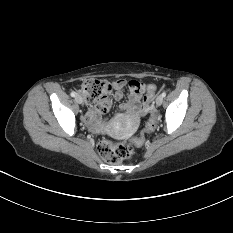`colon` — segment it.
<instances>
[{"mask_svg":"<svg viewBox=\"0 0 233 233\" xmlns=\"http://www.w3.org/2000/svg\"><path fill=\"white\" fill-rule=\"evenodd\" d=\"M112 90V83L102 79H88L83 82L81 91L87 100H106ZM157 90L155 84H149L143 97V106L146 112L150 111V102ZM156 119L151 116L142 133L132 141L114 142L102 140L98 143L97 150L103 160L108 163H120L130 159L134 154V147L141 146L145 142L144 134L155 129Z\"/></svg>","mask_w":233,"mask_h":233,"instance_id":"1","label":"colon"}]
</instances>
